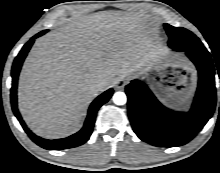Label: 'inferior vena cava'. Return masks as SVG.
<instances>
[{
	"label": "inferior vena cava",
	"mask_w": 220,
	"mask_h": 173,
	"mask_svg": "<svg viewBox=\"0 0 220 173\" xmlns=\"http://www.w3.org/2000/svg\"><path fill=\"white\" fill-rule=\"evenodd\" d=\"M105 85H106V81L102 79H95L93 82V86L97 88L103 87Z\"/></svg>",
	"instance_id": "602c4592"
}]
</instances>
